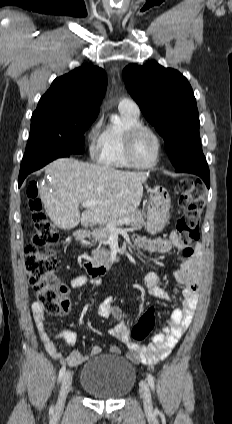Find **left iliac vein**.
Masks as SVG:
<instances>
[{"mask_svg":"<svg viewBox=\"0 0 232 424\" xmlns=\"http://www.w3.org/2000/svg\"><path fill=\"white\" fill-rule=\"evenodd\" d=\"M140 393L143 399L144 410L147 414L153 413V405L149 385L145 380L140 382Z\"/></svg>","mask_w":232,"mask_h":424,"instance_id":"4c4485c4","label":"left iliac vein"}]
</instances>
